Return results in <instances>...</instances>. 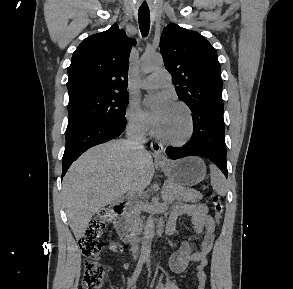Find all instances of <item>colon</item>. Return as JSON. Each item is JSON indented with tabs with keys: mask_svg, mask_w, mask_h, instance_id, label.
Returning <instances> with one entry per match:
<instances>
[{
	"mask_svg": "<svg viewBox=\"0 0 293 289\" xmlns=\"http://www.w3.org/2000/svg\"><path fill=\"white\" fill-rule=\"evenodd\" d=\"M210 199L215 220L220 222L223 215L221 198L216 194H211ZM110 217L109 211H101L89 222L85 234L79 239V246L84 256L83 289H98L107 277L108 268L100 263L99 257L103 247L100 237Z\"/></svg>",
	"mask_w": 293,
	"mask_h": 289,
	"instance_id": "colon-1",
	"label": "colon"
}]
</instances>
